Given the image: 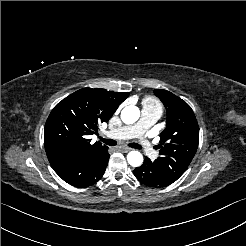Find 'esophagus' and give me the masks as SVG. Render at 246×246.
Instances as JSON below:
<instances>
[{"mask_svg": "<svg viewBox=\"0 0 246 246\" xmlns=\"http://www.w3.org/2000/svg\"><path fill=\"white\" fill-rule=\"evenodd\" d=\"M117 150L120 151V152H122V153H128L129 151H131V148H128V147H119Z\"/></svg>", "mask_w": 246, "mask_h": 246, "instance_id": "esophagus-1", "label": "esophagus"}]
</instances>
